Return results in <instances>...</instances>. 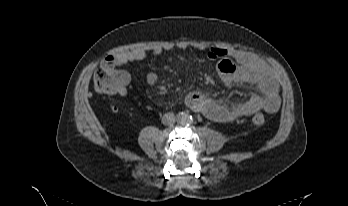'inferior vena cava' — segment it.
Wrapping results in <instances>:
<instances>
[{
  "label": "inferior vena cava",
  "mask_w": 348,
  "mask_h": 206,
  "mask_svg": "<svg viewBox=\"0 0 348 206\" xmlns=\"http://www.w3.org/2000/svg\"><path fill=\"white\" fill-rule=\"evenodd\" d=\"M175 116H174V114L173 113H166L164 116H163V118H162V122H163V124H165V125H171V124H173L174 122H175Z\"/></svg>",
  "instance_id": "inferior-vena-cava-1"
}]
</instances>
